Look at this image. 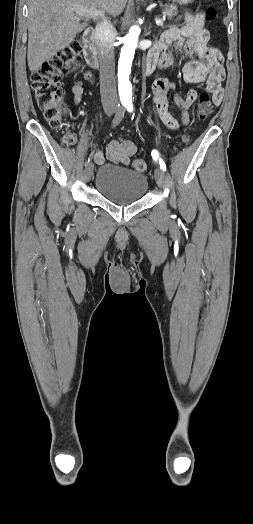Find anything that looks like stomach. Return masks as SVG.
I'll return each instance as SVG.
<instances>
[{
	"instance_id": "1",
	"label": "stomach",
	"mask_w": 253,
	"mask_h": 524,
	"mask_svg": "<svg viewBox=\"0 0 253 524\" xmlns=\"http://www.w3.org/2000/svg\"><path fill=\"white\" fill-rule=\"evenodd\" d=\"M174 1L179 4H188V3H192L194 0H174Z\"/></svg>"
}]
</instances>
